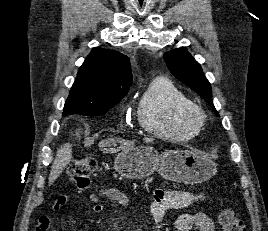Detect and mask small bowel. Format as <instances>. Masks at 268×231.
<instances>
[{"label":"small bowel","mask_w":268,"mask_h":231,"mask_svg":"<svg viewBox=\"0 0 268 231\" xmlns=\"http://www.w3.org/2000/svg\"><path fill=\"white\" fill-rule=\"evenodd\" d=\"M101 197L123 206H128L131 202L130 198L119 189L113 187L102 188L98 192H92L89 195V201L95 213H101L104 209L100 203ZM206 200L207 197L202 192L156 190L150 205V215L155 223H160L167 211L186 208L197 202L204 203ZM52 209L57 210L58 206L55 205ZM49 226L50 218L47 215H41L38 218L35 231H48ZM174 228L175 231H214V224L207 214L197 212L179 216L174 223ZM54 231L60 230L55 229Z\"/></svg>","instance_id":"obj_1"}]
</instances>
